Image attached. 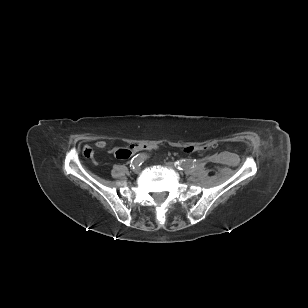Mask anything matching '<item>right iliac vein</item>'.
Wrapping results in <instances>:
<instances>
[{"label":"right iliac vein","instance_id":"right-iliac-vein-1","mask_svg":"<svg viewBox=\"0 0 308 308\" xmlns=\"http://www.w3.org/2000/svg\"><path fill=\"white\" fill-rule=\"evenodd\" d=\"M133 171H134L135 173H139V172L141 171V168L138 167V166H136V167H134Z\"/></svg>","mask_w":308,"mask_h":308}]
</instances>
